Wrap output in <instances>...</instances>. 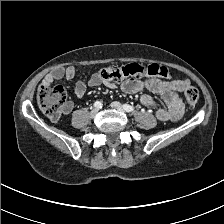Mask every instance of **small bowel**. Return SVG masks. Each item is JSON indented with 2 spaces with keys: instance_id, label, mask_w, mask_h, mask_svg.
Returning a JSON list of instances; mask_svg holds the SVG:
<instances>
[{
  "instance_id": "obj_1",
  "label": "small bowel",
  "mask_w": 224,
  "mask_h": 224,
  "mask_svg": "<svg viewBox=\"0 0 224 224\" xmlns=\"http://www.w3.org/2000/svg\"><path fill=\"white\" fill-rule=\"evenodd\" d=\"M74 76L75 68L73 66L60 67L48 73L43 78L41 86H50L54 81L61 80L63 78L66 80H72ZM88 85L91 87L99 85H105L109 88L115 87L114 83L102 79L98 73L93 74L89 78ZM188 85L189 81L183 79L161 80L150 78L147 80L124 81L121 83V89L126 93H137L143 89H148L153 93L159 94L165 102L166 108L161 107L149 94H143L140 97V103L143 106L154 108V114L158 120L176 121L181 118L184 112V103L180 93L183 92ZM74 92L78 98L84 96L86 92L84 81H76ZM72 108V103H69V107L64 111V113H70Z\"/></svg>"
}]
</instances>
